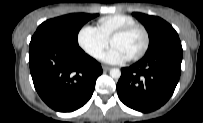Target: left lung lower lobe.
<instances>
[{
	"instance_id": "left-lung-lower-lobe-1",
	"label": "left lung lower lobe",
	"mask_w": 203,
	"mask_h": 123,
	"mask_svg": "<svg viewBox=\"0 0 203 123\" xmlns=\"http://www.w3.org/2000/svg\"><path fill=\"white\" fill-rule=\"evenodd\" d=\"M182 55L181 43L171 44L122 68L117 83L120 100L140 112L160 108L172 96L179 81Z\"/></svg>"
}]
</instances>
